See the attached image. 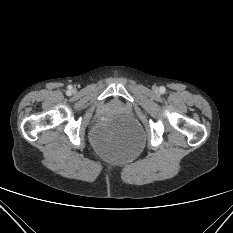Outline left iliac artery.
<instances>
[{"mask_svg": "<svg viewBox=\"0 0 233 233\" xmlns=\"http://www.w3.org/2000/svg\"><path fill=\"white\" fill-rule=\"evenodd\" d=\"M160 91L163 93V92H165V87H161L160 88Z\"/></svg>", "mask_w": 233, "mask_h": 233, "instance_id": "44dca946", "label": "left iliac artery"}]
</instances>
